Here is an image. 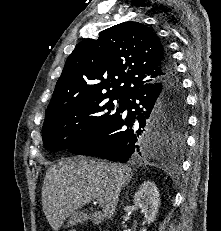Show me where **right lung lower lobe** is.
I'll use <instances>...</instances> for the list:
<instances>
[{
	"label": "right lung lower lobe",
	"mask_w": 221,
	"mask_h": 231,
	"mask_svg": "<svg viewBox=\"0 0 221 231\" xmlns=\"http://www.w3.org/2000/svg\"><path fill=\"white\" fill-rule=\"evenodd\" d=\"M161 68L160 82L145 85L126 96L120 111L101 131L69 151L122 163L138 155L159 154L165 139L152 127L156 109L166 98L185 103L175 63L166 49ZM125 110L127 113H123Z\"/></svg>",
	"instance_id": "1"
}]
</instances>
